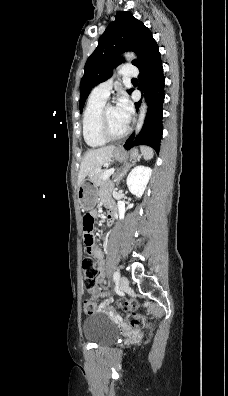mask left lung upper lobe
<instances>
[{"label":"left lung upper lobe","instance_id":"left-lung-upper-lobe-1","mask_svg":"<svg viewBox=\"0 0 228 396\" xmlns=\"http://www.w3.org/2000/svg\"><path fill=\"white\" fill-rule=\"evenodd\" d=\"M151 31L137 20L131 12L121 11L116 15L99 39L98 46L85 64V72L80 83V112L90 90L107 80L112 69L123 60L119 56L124 51H134L138 59L133 65L140 67L153 43ZM132 89L127 90L130 93Z\"/></svg>","mask_w":228,"mask_h":396}]
</instances>
